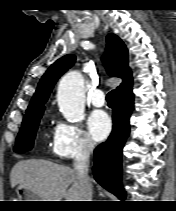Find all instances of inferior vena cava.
I'll list each match as a JSON object with an SVG mask.
<instances>
[{"label": "inferior vena cava", "instance_id": "1", "mask_svg": "<svg viewBox=\"0 0 176 211\" xmlns=\"http://www.w3.org/2000/svg\"><path fill=\"white\" fill-rule=\"evenodd\" d=\"M94 145L90 141H86L80 152L77 154L73 167L74 171L77 174L78 181L83 187L84 190V198L83 201H92V185L90 182V178L88 176V168H89V156L90 153L93 152Z\"/></svg>", "mask_w": 176, "mask_h": 211}]
</instances>
